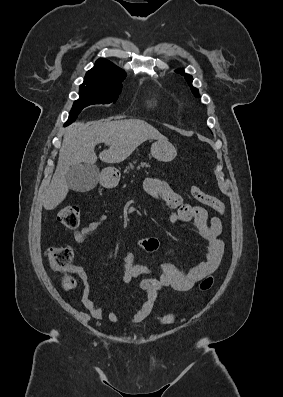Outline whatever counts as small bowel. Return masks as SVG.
Masks as SVG:
<instances>
[{
    "label": "small bowel",
    "mask_w": 283,
    "mask_h": 397,
    "mask_svg": "<svg viewBox=\"0 0 283 397\" xmlns=\"http://www.w3.org/2000/svg\"><path fill=\"white\" fill-rule=\"evenodd\" d=\"M143 188L151 198L162 202L172 210L170 213L172 222H192L205 242V250L202 259L188 269H181L173 264L164 263L159 266L157 278L146 277L140 281L138 287L145 292L147 298L134 314L131 320L134 324L142 322L151 314L157 296L163 289L171 288L186 291L193 288L201 279L213 273L222 260L225 248L220 237L222 224L218 217H209L204 208L185 203L181 195L162 179L146 178ZM107 218V215L103 214L82 228L75 230L73 232L74 241L83 243L89 235L97 231L106 222ZM141 247L147 252H153L158 248V241L155 238H145L141 240ZM123 261L122 283H129L138 276H147L152 273L151 265L145 262H137L133 253H127ZM73 272L82 285L84 306L94 319H102L104 311L91 298L86 272L79 266L74 267ZM107 317L112 323H119L120 321L119 316L114 311L109 312Z\"/></svg>",
    "instance_id": "small-bowel-1"
}]
</instances>
